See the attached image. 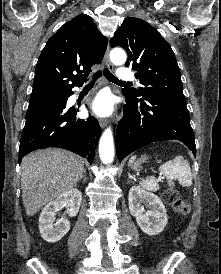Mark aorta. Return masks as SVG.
Masks as SVG:
<instances>
[{
  "label": "aorta",
  "mask_w": 221,
  "mask_h": 274,
  "mask_svg": "<svg viewBox=\"0 0 221 274\" xmlns=\"http://www.w3.org/2000/svg\"><path fill=\"white\" fill-rule=\"evenodd\" d=\"M110 59L115 65H122L126 62L127 56L123 49L115 48L110 52ZM99 155L104 164H109L114 159L113 133L110 128H107L100 138Z\"/></svg>",
  "instance_id": "762f6f07"
}]
</instances>
